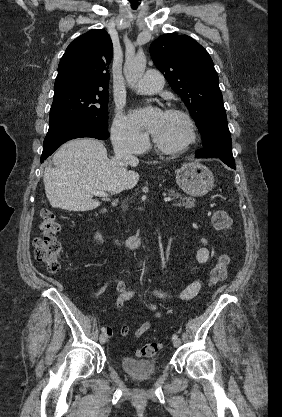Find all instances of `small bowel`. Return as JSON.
Returning <instances> with one entry per match:
<instances>
[{
    "label": "small bowel",
    "instance_id": "small-bowel-1",
    "mask_svg": "<svg viewBox=\"0 0 282 417\" xmlns=\"http://www.w3.org/2000/svg\"><path fill=\"white\" fill-rule=\"evenodd\" d=\"M200 242H201V246L196 252V261L201 265H206L210 258V251L208 248V243H207L206 238L204 237L200 239ZM109 285H113L115 287V298L117 301V307L118 309H121L123 302H124L125 295L128 291L127 285L121 280L114 279V280L107 282L104 286H102L95 293V297H98L101 293H103ZM201 287H202V283L200 280L197 279V280L192 281L185 288L178 290V291L170 292V291H165L161 289H155L153 293L154 295L162 299H177V300L187 301V300H191L195 298L200 292ZM150 308L151 310L155 312L156 317L160 316V314L156 311L155 305L151 304ZM150 325H151L150 322H145L138 330L134 332L133 337L139 338L140 336H142L150 328ZM104 333L109 337L113 335V331L110 327H106L104 329ZM129 333H130L129 326L126 323H122L119 329V335L121 337H126L129 335Z\"/></svg>",
    "mask_w": 282,
    "mask_h": 417
}]
</instances>
